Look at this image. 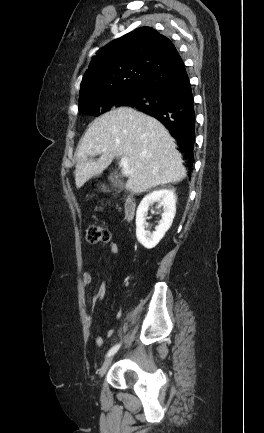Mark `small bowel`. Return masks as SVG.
Wrapping results in <instances>:
<instances>
[{"mask_svg": "<svg viewBox=\"0 0 264 433\" xmlns=\"http://www.w3.org/2000/svg\"><path fill=\"white\" fill-rule=\"evenodd\" d=\"M118 253H119V246H118V244H116L115 242H110L108 244L106 252L101 255V257H100L99 260L102 262V261L106 260L107 258H109L111 256L117 255ZM82 282H83L84 285L91 284V282H92V276H91V274L89 272H85L83 274V276H82ZM105 295H106V285L104 283H101V284H99V286H98V288H97V290L95 292V295L93 297V303L95 301H97V300L103 301L104 298H105ZM120 314L121 313H118V315H120ZM86 322H87L88 326L92 325V316L91 315L87 316ZM113 333H114V330L113 329H109V330H107L106 335L108 337H110V336L113 335ZM94 342H95V344L97 346H102L103 343H104V339H103L102 336L99 335V336H97L95 338Z\"/></svg>", "mask_w": 264, "mask_h": 433, "instance_id": "obj_1", "label": "small bowel"}]
</instances>
